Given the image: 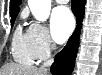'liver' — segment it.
Here are the masks:
<instances>
[{
    "mask_svg": "<svg viewBox=\"0 0 102 75\" xmlns=\"http://www.w3.org/2000/svg\"><path fill=\"white\" fill-rule=\"evenodd\" d=\"M0 75H48V72L34 66L9 63L0 68Z\"/></svg>",
    "mask_w": 102,
    "mask_h": 75,
    "instance_id": "liver-1",
    "label": "liver"
}]
</instances>
